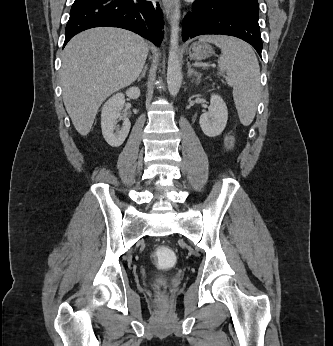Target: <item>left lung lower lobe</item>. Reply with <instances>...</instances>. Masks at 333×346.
I'll list each match as a JSON object with an SVG mask.
<instances>
[{
  "label": "left lung lower lobe",
  "mask_w": 333,
  "mask_h": 346,
  "mask_svg": "<svg viewBox=\"0 0 333 346\" xmlns=\"http://www.w3.org/2000/svg\"><path fill=\"white\" fill-rule=\"evenodd\" d=\"M220 34L240 38L251 44L261 57L262 39L258 19L235 11L218 0H196L183 20L182 38Z\"/></svg>",
  "instance_id": "1"
}]
</instances>
